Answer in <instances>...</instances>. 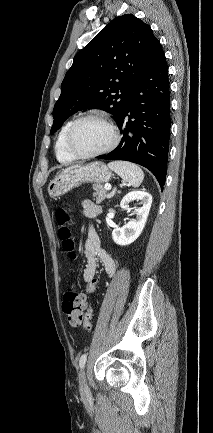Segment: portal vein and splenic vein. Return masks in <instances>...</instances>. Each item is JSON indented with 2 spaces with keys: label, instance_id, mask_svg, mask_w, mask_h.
I'll use <instances>...</instances> for the list:
<instances>
[{
  "label": "portal vein and splenic vein",
  "instance_id": "obj_1",
  "mask_svg": "<svg viewBox=\"0 0 213 433\" xmlns=\"http://www.w3.org/2000/svg\"><path fill=\"white\" fill-rule=\"evenodd\" d=\"M105 190H111V185L110 184H106L104 186ZM115 194V191H112L107 197L110 198Z\"/></svg>",
  "mask_w": 213,
  "mask_h": 433
}]
</instances>
